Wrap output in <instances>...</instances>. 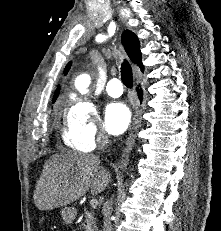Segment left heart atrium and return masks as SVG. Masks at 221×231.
Masks as SVG:
<instances>
[{"label":"left heart atrium","mask_w":221,"mask_h":231,"mask_svg":"<svg viewBox=\"0 0 221 231\" xmlns=\"http://www.w3.org/2000/svg\"><path fill=\"white\" fill-rule=\"evenodd\" d=\"M130 118V111L125 104L112 102L104 112L105 128L112 134H120L128 127Z\"/></svg>","instance_id":"obj_1"}]
</instances>
